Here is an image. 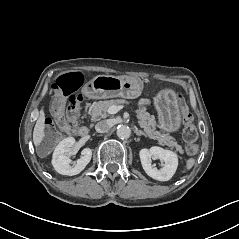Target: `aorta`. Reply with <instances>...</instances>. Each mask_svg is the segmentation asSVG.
Listing matches in <instances>:
<instances>
[{"mask_svg": "<svg viewBox=\"0 0 239 239\" xmlns=\"http://www.w3.org/2000/svg\"><path fill=\"white\" fill-rule=\"evenodd\" d=\"M116 134L120 139H128L131 135V129L128 126H120L117 128Z\"/></svg>", "mask_w": 239, "mask_h": 239, "instance_id": "obj_1", "label": "aorta"}]
</instances>
